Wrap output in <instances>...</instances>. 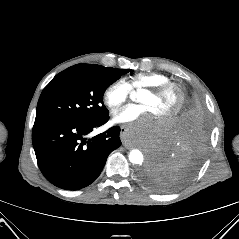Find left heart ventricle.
<instances>
[{"label":"left heart ventricle","mask_w":239,"mask_h":239,"mask_svg":"<svg viewBox=\"0 0 239 239\" xmlns=\"http://www.w3.org/2000/svg\"><path fill=\"white\" fill-rule=\"evenodd\" d=\"M176 100V95L173 92L157 97L143 91L139 96V101L149 106L157 117H163L166 112L170 111L176 104Z\"/></svg>","instance_id":"1"}]
</instances>
